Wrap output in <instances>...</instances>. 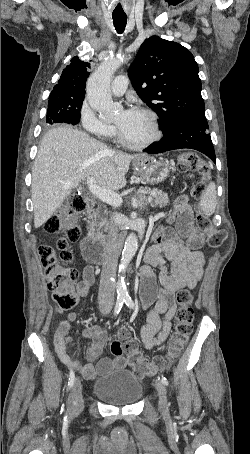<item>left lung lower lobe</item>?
Returning a JSON list of instances; mask_svg holds the SVG:
<instances>
[{
  "label": "left lung lower lobe",
  "mask_w": 250,
  "mask_h": 454,
  "mask_svg": "<svg viewBox=\"0 0 250 454\" xmlns=\"http://www.w3.org/2000/svg\"><path fill=\"white\" fill-rule=\"evenodd\" d=\"M182 148L198 150L216 163L204 114L188 116L176 121L163 132V138L159 142L152 143L144 151L149 154H157Z\"/></svg>",
  "instance_id": "1"
}]
</instances>
